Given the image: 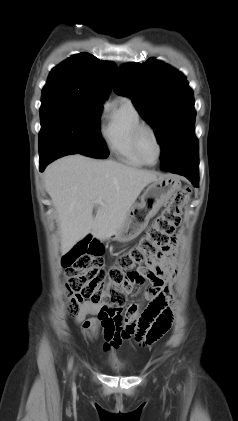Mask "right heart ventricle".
<instances>
[{
    "label": "right heart ventricle",
    "mask_w": 238,
    "mask_h": 421,
    "mask_svg": "<svg viewBox=\"0 0 238 421\" xmlns=\"http://www.w3.org/2000/svg\"><path fill=\"white\" fill-rule=\"evenodd\" d=\"M142 122L135 104L122 98L108 108L102 128L109 149L123 162L136 167L145 165L134 147V132Z\"/></svg>",
    "instance_id": "obj_1"
}]
</instances>
